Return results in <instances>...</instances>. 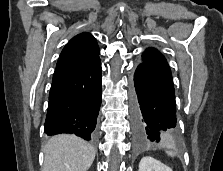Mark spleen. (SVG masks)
<instances>
[{
    "label": "spleen",
    "instance_id": "3e777b00",
    "mask_svg": "<svg viewBox=\"0 0 223 171\" xmlns=\"http://www.w3.org/2000/svg\"><path fill=\"white\" fill-rule=\"evenodd\" d=\"M166 153H167L169 156H172V157L175 156V154H174L173 152H171V151H166Z\"/></svg>",
    "mask_w": 223,
    "mask_h": 171
}]
</instances>
